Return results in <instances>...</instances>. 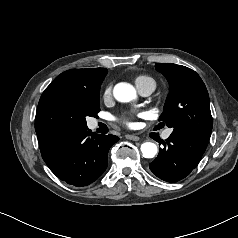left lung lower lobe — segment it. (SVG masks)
<instances>
[{
  "label": "left lung lower lobe",
  "mask_w": 238,
  "mask_h": 238,
  "mask_svg": "<svg viewBox=\"0 0 238 238\" xmlns=\"http://www.w3.org/2000/svg\"><path fill=\"white\" fill-rule=\"evenodd\" d=\"M209 140L181 132H172L160 148L150 170L167 182L182 180L198 165Z\"/></svg>",
  "instance_id": "1"
}]
</instances>
